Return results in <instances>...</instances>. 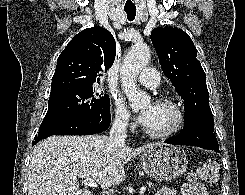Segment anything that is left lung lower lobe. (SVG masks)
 I'll return each instance as SVG.
<instances>
[{"label": "left lung lower lobe", "mask_w": 245, "mask_h": 195, "mask_svg": "<svg viewBox=\"0 0 245 195\" xmlns=\"http://www.w3.org/2000/svg\"><path fill=\"white\" fill-rule=\"evenodd\" d=\"M168 144L192 145L208 150L219 151L218 141L214 135V127L205 124H188L183 132L165 141Z\"/></svg>", "instance_id": "0a47b994"}]
</instances>
